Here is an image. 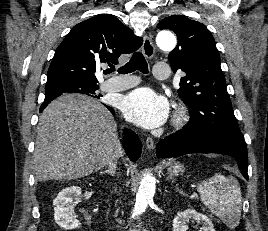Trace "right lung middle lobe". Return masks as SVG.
<instances>
[{"label":"right lung middle lobe","instance_id":"obj_1","mask_svg":"<svg viewBox=\"0 0 268 231\" xmlns=\"http://www.w3.org/2000/svg\"><path fill=\"white\" fill-rule=\"evenodd\" d=\"M99 89L97 84H85L74 81H58L45 86V99H55L65 93L86 94L97 97L95 91Z\"/></svg>","mask_w":268,"mask_h":231}]
</instances>
